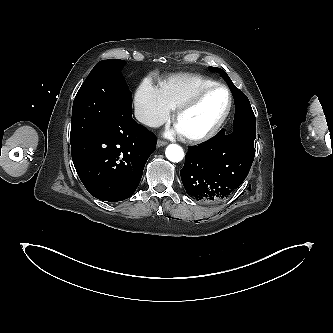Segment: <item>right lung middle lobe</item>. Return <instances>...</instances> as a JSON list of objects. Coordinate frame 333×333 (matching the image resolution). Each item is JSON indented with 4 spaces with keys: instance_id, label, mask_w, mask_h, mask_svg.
Segmentation results:
<instances>
[{
    "instance_id": "obj_1",
    "label": "right lung middle lobe",
    "mask_w": 333,
    "mask_h": 333,
    "mask_svg": "<svg viewBox=\"0 0 333 333\" xmlns=\"http://www.w3.org/2000/svg\"><path fill=\"white\" fill-rule=\"evenodd\" d=\"M124 64L119 59L98 62L80 87L72 108L71 144L94 133L113 117L121 103H132L120 71Z\"/></svg>"
}]
</instances>
